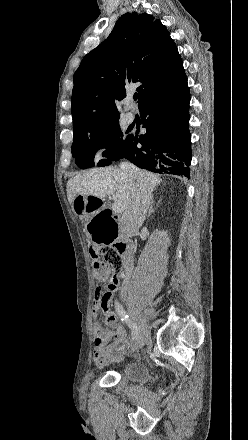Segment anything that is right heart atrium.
I'll list each match as a JSON object with an SVG mask.
<instances>
[{
	"instance_id": "obj_1",
	"label": "right heart atrium",
	"mask_w": 248,
	"mask_h": 440,
	"mask_svg": "<svg viewBox=\"0 0 248 440\" xmlns=\"http://www.w3.org/2000/svg\"><path fill=\"white\" fill-rule=\"evenodd\" d=\"M114 145V140L110 137H105L101 144L95 151L96 159H103L110 155Z\"/></svg>"
}]
</instances>
